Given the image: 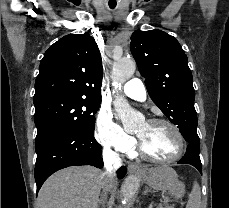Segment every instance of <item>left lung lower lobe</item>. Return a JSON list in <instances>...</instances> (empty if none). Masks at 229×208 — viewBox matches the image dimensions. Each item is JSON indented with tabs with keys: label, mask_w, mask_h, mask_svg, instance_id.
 I'll return each mask as SVG.
<instances>
[{
	"label": "left lung lower lobe",
	"mask_w": 229,
	"mask_h": 208,
	"mask_svg": "<svg viewBox=\"0 0 229 208\" xmlns=\"http://www.w3.org/2000/svg\"><path fill=\"white\" fill-rule=\"evenodd\" d=\"M189 143L185 155L178 161L181 164H190L202 174V165L199 157V137L196 130L181 133Z\"/></svg>",
	"instance_id": "left-lung-lower-lobe-1"
}]
</instances>
